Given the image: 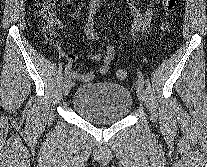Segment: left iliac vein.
I'll return each mask as SVG.
<instances>
[{
  "label": "left iliac vein",
  "mask_w": 207,
  "mask_h": 167,
  "mask_svg": "<svg viewBox=\"0 0 207 167\" xmlns=\"http://www.w3.org/2000/svg\"><path fill=\"white\" fill-rule=\"evenodd\" d=\"M136 92L139 100L141 102H144L145 100V89L143 83L138 79L136 81Z\"/></svg>",
  "instance_id": "1"
}]
</instances>
